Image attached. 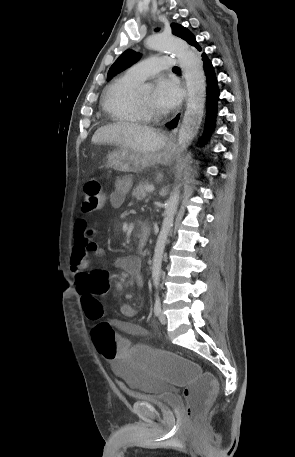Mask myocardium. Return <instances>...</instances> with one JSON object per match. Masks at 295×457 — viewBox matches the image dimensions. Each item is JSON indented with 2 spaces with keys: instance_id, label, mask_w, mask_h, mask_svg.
Masks as SVG:
<instances>
[{
  "instance_id": "f54148a6",
  "label": "myocardium",
  "mask_w": 295,
  "mask_h": 457,
  "mask_svg": "<svg viewBox=\"0 0 295 457\" xmlns=\"http://www.w3.org/2000/svg\"><path fill=\"white\" fill-rule=\"evenodd\" d=\"M135 102H136V105H137L138 109H139L145 116H148V117H156V116H157V113L155 112V110H154L153 108L143 106V105H141L138 101H135Z\"/></svg>"
}]
</instances>
